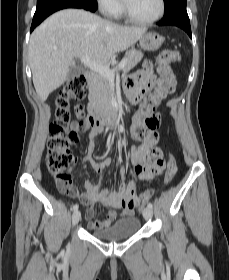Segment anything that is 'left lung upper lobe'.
Returning a JSON list of instances; mask_svg holds the SVG:
<instances>
[{
  "mask_svg": "<svg viewBox=\"0 0 229 280\" xmlns=\"http://www.w3.org/2000/svg\"><path fill=\"white\" fill-rule=\"evenodd\" d=\"M165 1V15H169L178 8H186V0H164Z\"/></svg>",
  "mask_w": 229,
  "mask_h": 280,
  "instance_id": "left-lung-upper-lobe-1",
  "label": "left lung upper lobe"
}]
</instances>
